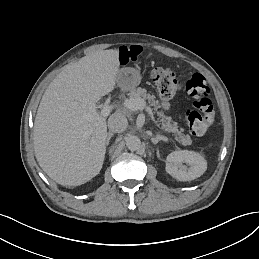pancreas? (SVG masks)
I'll list each match as a JSON object with an SVG mask.
<instances>
[{"label": "pancreas", "instance_id": "1", "mask_svg": "<svg viewBox=\"0 0 259 259\" xmlns=\"http://www.w3.org/2000/svg\"><path fill=\"white\" fill-rule=\"evenodd\" d=\"M131 98L135 99H142L144 101L147 100L148 106H150L154 112L153 114L158 116L157 122L161 124L160 129L165 131L167 134L174 133L175 135H178L176 137V140L181 141L183 144H190L191 138L187 134H181L177 123L173 122L172 117L166 116L165 111L163 109H159L161 107L160 101L156 99L155 95L152 92L146 93L145 89L137 88L133 89L130 94ZM181 131L183 132L184 129L181 128Z\"/></svg>", "mask_w": 259, "mask_h": 259}]
</instances>
